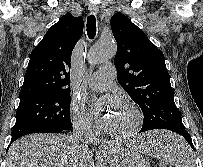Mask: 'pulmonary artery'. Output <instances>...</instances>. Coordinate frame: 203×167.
I'll return each instance as SVG.
<instances>
[{
	"label": "pulmonary artery",
	"mask_w": 203,
	"mask_h": 167,
	"mask_svg": "<svg viewBox=\"0 0 203 167\" xmlns=\"http://www.w3.org/2000/svg\"><path fill=\"white\" fill-rule=\"evenodd\" d=\"M116 69L112 64L102 66L88 80V86L94 90H104L115 78Z\"/></svg>",
	"instance_id": "obj_1"
}]
</instances>
